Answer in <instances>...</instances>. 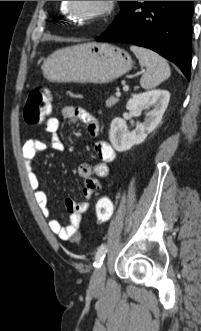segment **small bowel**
<instances>
[{
	"mask_svg": "<svg viewBox=\"0 0 201 331\" xmlns=\"http://www.w3.org/2000/svg\"><path fill=\"white\" fill-rule=\"evenodd\" d=\"M60 114L61 117L69 123L76 121L83 123L90 136L96 137L99 134L98 120L86 110L73 106H64ZM59 126V118L49 117L44 125V130L49 137V142L41 139L27 140L22 147L23 161L35 201L42 214L47 219L50 230L62 240L76 242L79 241L81 237L79 229L83 213L88 209V203L78 202L71 198L66 199L65 208L69 214V222L65 226L62 225L58 219L51 215L47 196L40 187V180L34 167V160L39 152L47 148L57 151H63L65 149V144L58 133ZM94 151L100 163L96 165L84 163L78 168V175L83 180L82 194L86 199H90L93 194L100 189L99 179H106L110 176L111 168L109 164L113 162L116 157L114 149L106 141L96 142Z\"/></svg>",
	"mask_w": 201,
	"mask_h": 331,
	"instance_id": "obj_1",
	"label": "small bowel"
}]
</instances>
